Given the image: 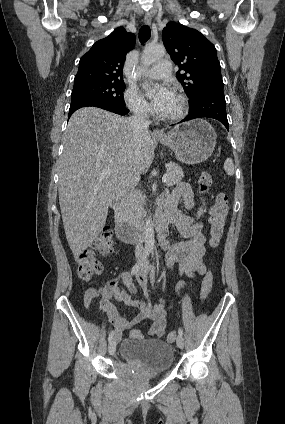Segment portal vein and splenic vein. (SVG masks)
<instances>
[{
    "label": "portal vein and splenic vein",
    "mask_w": 285,
    "mask_h": 424,
    "mask_svg": "<svg viewBox=\"0 0 285 424\" xmlns=\"http://www.w3.org/2000/svg\"><path fill=\"white\" fill-rule=\"evenodd\" d=\"M112 172H113V170H112V169H109V168L103 169V170L101 171V176H106V175H108V174H110V173H112ZM167 177H168V174H167V172H166V173L164 174L163 178H162V182H163V183H165V182H166Z\"/></svg>",
    "instance_id": "obj_1"
}]
</instances>
